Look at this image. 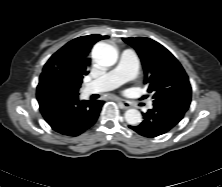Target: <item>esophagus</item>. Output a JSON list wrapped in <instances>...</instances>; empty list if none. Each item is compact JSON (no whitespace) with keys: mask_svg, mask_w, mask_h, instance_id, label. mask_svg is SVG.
Masks as SVG:
<instances>
[{"mask_svg":"<svg viewBox=\"0 0 222 187\" xmlns=\"http://www.w3.org/2000/svg\"><path fill=\"white\" fill-rule=\"evenodd\" d=\"M119 101H120V105L124 109H129L132 107L131 103H129L128 101H125V100H119Z\"/></svg>","mask_w":222,"mask_h":187,"instance_id":"1","label":"esophagus"}]
</instances>
